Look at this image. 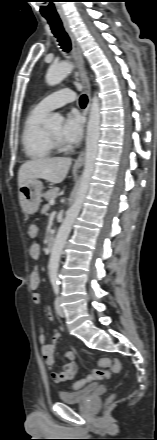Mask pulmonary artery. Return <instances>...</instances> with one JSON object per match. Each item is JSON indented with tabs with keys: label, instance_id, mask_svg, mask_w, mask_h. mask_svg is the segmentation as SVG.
<instances>
[{
	"label": "pulmonary artery",
	"instance_id": "pulmonary-artery-1",
	"mask_svg": "<svg viewBox=\"0 0 157 440\" xmlns=\"http://www.w3.org/2000/svg\"><path fill=\"white\" fill-rule=\"evenodd\" d=\"M76 96L75 93L68 89L59 90L44 97L38 104L37 108L48 113L56 108L62 107L67 103L73 102Z\"/></svg>",
	"mask_w": 157,
	"mask_h": 440
}]
</instances>
